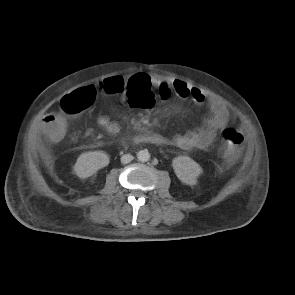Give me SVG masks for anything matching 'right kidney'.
I'll use <instances>...</instances> for the list:
<instances>
[{
    "mask_svg": "<svg viewBox=\"0 0 295 295\" xmlns=\"http://www.w3.org/2000/svg\"><path fill=\"white\" fill-rule=\"evenodd\" d=\"M109 162V156L104 151L85 152L78 157L74 171L79 178H88L107 166Z\"/></svg>",
    "mask_w": 295,
    "mask_h": 295,
    "instance_id": "ca27d5eb",
    "label": "right kidney"
}]
</instances>
